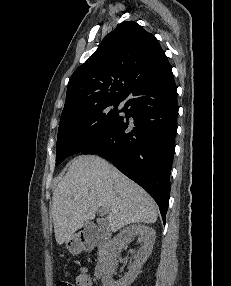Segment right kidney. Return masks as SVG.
Returning <instances> with one entry per match:
<instances>
[{
    "mask_svg": "<svg viewBox=\"0 0 231 286\" xmlns=\"http://www.w3.org/2000/svg\"><path fill=\"white\" fill-rule=\"evenodd\" d=\"M155 234L156 233L152 227L135 224L126 227L116 235L110 242V254L102 277L103 286H130L137 278L141 272L143 264L152 253L156 237ZM134 237H138V241L142 242L143 245L134 254V262L129 269V272L119 281H114L112 276L118 265L117 255L124 245L130 243Z\"/></svg>",
    "mask_w": 231,
    "mask_h": 286,
    "instance_id": "obj_1",
    "label": "right kidney"
}]
</instances>
